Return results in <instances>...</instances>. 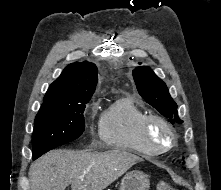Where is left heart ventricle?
<instances>
[{
    "mask_svg": "<svg viewBox=\"0 0 221 190\" xmlns=\"http://www.w3.org/2000/svg\"><path fill=\"white\" fill-rule=\"evenodd\" d=\"M151 139L157 144L163 145L167 144L169 137L166 131L161 127V125L154 123L150 129Z\"/></svg>",
    "mask_w": 221,
    "mask_h": 190,
    "instance_id": "obj_1",
    "label": "left heart ventricle"
}]
</instances>
